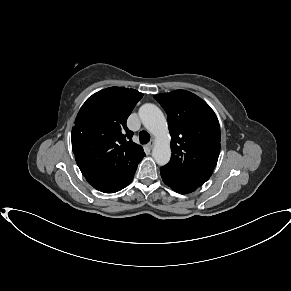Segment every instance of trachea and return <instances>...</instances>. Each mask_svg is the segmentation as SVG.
I'll return each mask as SVG.
<instances>
[{
  "label": "trachea",
  "instance_id": "obj_1",
  "mask_svg": "<svg viewBox=\"0 0 291 291\" xmlns=\"http://www.w3.org/2000/svg\"><path fill=\"white\" fill-rule=\"evenodd\" d=\"M139 140L142 144H147L150 141V134L146 131L139 133Z\"/></svg>",
  "mask_w": 291,
  "mask_h": 291
}]
</instances>
